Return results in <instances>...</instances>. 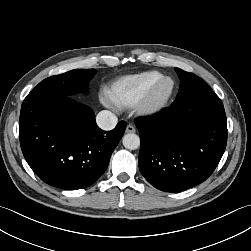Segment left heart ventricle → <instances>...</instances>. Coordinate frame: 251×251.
Here are the masks:
<instances>
[{
  "mask_svg": "<svg viewBox=\"0 0 251 251\" xmlns=\"http://www.w3.org/2000/svg\"><path fill=\"white\" fill-rule=\"evenodd\" d=\"M169 87H170V83H169V82H165V83L161 86V88H160V90H159V92H158V95H159V96L164 95V94L168 91Z\"/></svg>",
  "mask_w": 251,
  "mask_h": 251,
  "instance_id": "obj_1",
  "label": "left heart ventricle"
}]
</instances>
